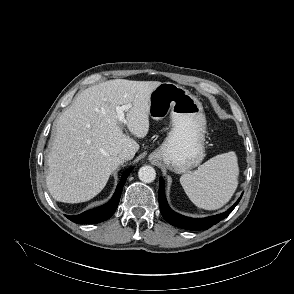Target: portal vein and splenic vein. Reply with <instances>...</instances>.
I'll return each mask as SVG.
<instances>
[{"instance_id":"1","label":"portal vein and splenic vein","mask_w":294,"mask_h":294,"mask_svg":"<svg viewBox=\"0 0 294 294\" xmlns=\"http://www.w3.org/2000/svg\"><path fill=\"white\" fill-rule=\"evenodd\" d=\"M130 107H131V104H126V105L116 107V112H117L118 120L120 123H124V124L127 123L125 119L124 111H127Z\"/></svg>"}]
</instances>
